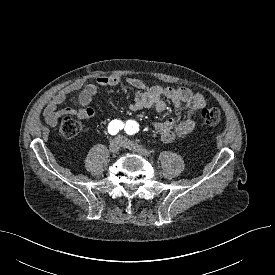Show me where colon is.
Here are the masks:
<instances>
[{"mask_svg": "<svg viewBox=\"0 0 275 275\" xmlns=\"http://www.w3.org/2000/svg\"><path fill=\"white\" fill-rule=\"evenodd\" d=\"M205 125L216 126L221 122V112L217 108H205L201 112ZM82 130L81 124L71 116H64L60 122L59 132L65 139L75 138Z\"/></svg>", "mask_w": 275, "mask_h": 275, "instance_id": "obj_1", "label": "colon"}]
</instances>
